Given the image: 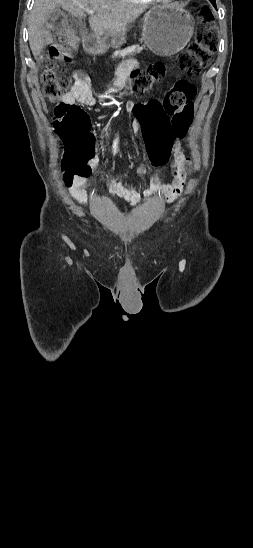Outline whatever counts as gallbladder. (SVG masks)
Segmentation results:
<instances>
[{"instance_id": "gallbladder-1", "label": "gallbladder", "mask_w": 253, "mask_h": 548, "mask_svg": "<svg viewBox=\"0 0 253 548\" xmlns=\"http://www.w3.org/2000/svg\"><path fill=\"white\" fill-rule=\"evenodd\" d=\"M65 12L61 11L59 8H56L50 15V19L54 20L60 16H64Z\"/></svg>"}]
</instances>
